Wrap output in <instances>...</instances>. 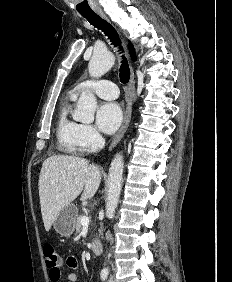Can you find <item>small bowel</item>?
<instances>
[{"label": "small bowel", "mask_w": 232, "mask_h": 282, "mask_svg": "<svg viewBox=\"0 0 232 282\" xmlns=\"http://www.w3.org/2000/svg\"><path fill=\"white\" fill-rule=\"evenodd\" d=\"M63 268H68V269H71V270L77 269L78 268L77 258L75 256H68L65 263L63 265H60L58 274H53L52 272H49L51 282H62L61 269H63ZM68 280L70 282H77L78 281V274L75 271H72L68 275Z\"/></svg>", "instance_id": "small-bowel-1"}]
</instances>
